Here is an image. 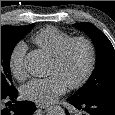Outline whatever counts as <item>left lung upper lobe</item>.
Instances as JSON below:
<instances>
[{"mask_svg":"<svg viewBox=\"0 0 115 115\" xmlns=\"http://www.w3.org/2000/svg\"><path fill=\"white\" fill-rule=\"evenodd\" d=\"M85 31L96 48V66L88 81L72 96L78 102L98 98L115 99V50L97 27L90 23L74 24Z\"/></svg>","mask_w":115,"mask_h":115,"instance_id":"left-lung-upper-lobe-1","label":"left lung upper lobe"}]
</instances>
